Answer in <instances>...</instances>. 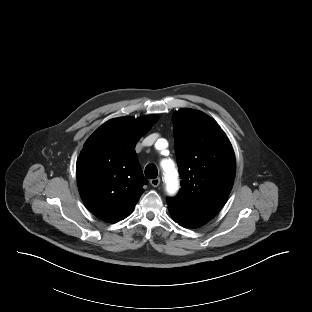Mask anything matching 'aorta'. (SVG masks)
Returning a JSON list of instances; mask_svg holds the SVG:
<instances>
[{
	"label": "aorta",
	"mask_w": 312,
	"mask_h": 312,
	"mask_svg": "<svg viewBox=\"0 0 312 312\" xmlns=\"http://www.w3.org/2000/svg\"><path fill=\"white\" fill-rule=\"evenodd\" d=\"M165 171L167 189L169 192H174L177 189V171L174 167V163L171 160H166L162 163Z\"/></svg>",
	"instance_id": "1"
}]
</instances>
